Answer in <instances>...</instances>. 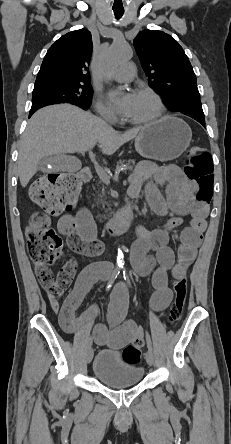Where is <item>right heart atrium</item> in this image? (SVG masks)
I'll return each instance as SVG.
<instances>
[{"label":"right heart atrium","mask_w":231,"mask_h":444,"mask_svg":"<svg viewBox=\"0 0 231 444\" xmlns=\"http://www.w3.org/2000/svg\"><path fill=\"white\" fill-rule=\"evenodd\" d=\"M95 109L96 112L106 120L115 121L117 118L114 110L106 104L101 97L96 98Z\"/></svg>","instance_id":"right-heart-atrium-1"}]
</instances>
